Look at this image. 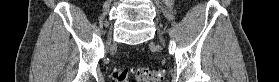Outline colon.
<instances>
[{
	"instance_id": "1",
	"label": "colon",
	"mask_w": 279,
	"mask_h": 82,
	"mask_svg": "<svg viewBox=\"0 0 279 82\" xmlns=\"http://www.w3.org/2000/svg\"><path fill=\"white\" fill-rule=\"evenodd\" d=\"M141 82H159L162 79L163 71L161 69L138 68L132 70ZM129 77L127 69H114L112 72L113 82H126Z\"/></svg>"
}]
</instances>
